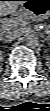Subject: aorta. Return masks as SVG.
I'll return each mask as SVG.
<instances>
[{
  "mask_svg": "<svg viewBox=\"0 0 50 111\" xmlns=\"http://www.w3.org/2000/svg\"><path fill=\"white\" fill-rule=\"evenodd\" d=\"M25 43L29 47H37L40 43L39 38L34 34H29L25 37Z\"/></svg>",
  "mask_w": 50,
  "mask_h": 111,
  "instance_id": "762f6f07",
  "label": "aorta"
}]
</instances>
